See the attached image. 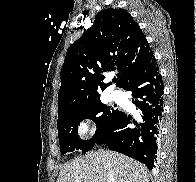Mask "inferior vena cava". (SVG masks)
<instances>
[{
    "label": "inferior vena cava",
    "instance_id": "obj_1",
    "mask_svg": "<svg viewBox=\"0 0 196 182\" xmlns=\"http://www.w3.org/2000/svg\"><path fill=\"white\" fill-rule=\"evenodd\" d=\"M108 182H115V177H114V173H113V171L112 170H110L109 172H108Z\"/></svg>",
    "mask_w": 196,
    "mask_h": 182
}]
</instances>
